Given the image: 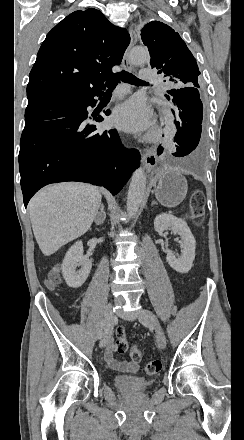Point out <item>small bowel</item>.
<instances>
[{
  "mask_svg": "<svg viewBox=\"0 0 244 440\" xmlns=\"http://www.w3.org/2000/svg\"><path fill=\"white\" fill-rule=\"evenodd\" d=\"M115 345L113 342H108L104 352V359L110 368L124 374H135L139 371V363H132L131 361L121 360L117 361L114 357Z\"/></svg>",
  "mask_w": 244,
  "mask_h": 440,
  "instance_id": "1",
  "label": "small bowel"
}]
</instances>
